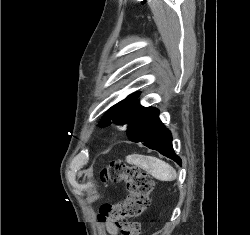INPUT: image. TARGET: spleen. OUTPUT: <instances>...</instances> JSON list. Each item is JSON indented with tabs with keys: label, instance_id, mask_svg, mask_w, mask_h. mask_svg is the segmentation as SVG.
<instances>
[{
	"label": "spleen",
	"instance_id": "spleen-1",
	"mask_svg": "<svg viewBox=\"0 0 250 235\" xmlns=\"http://www.w3.org/2000/svg\"><path fill=\"white\" fill-rule=\"evenodd\" d=\"M129 164H134L154 178L161 181H173L177 178L175 169L168 163L152 156L131 155L126 158Z\"/></svg>",
	"mask_w": 250,
	"mask_h": 235
}]
</instances>
